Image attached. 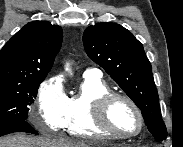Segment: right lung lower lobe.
<instances>
[{"label":"right lung lower lobe","mask_w":183,"mask_h":147,"mask_svg":"<svg viewBox=\"0 0 183 147\" xmlns=\"http://www.w3.org/2000/svg\"><path fill=\"white\" fill-rule=\"evenodd\" d=\"M13 132H27L38 134L26 120L12 121L0 124V136L13 133Z\"/></svg>","instance_id":"obj_1"}]
</instances>
